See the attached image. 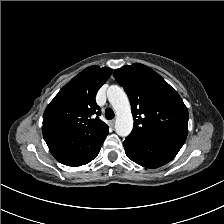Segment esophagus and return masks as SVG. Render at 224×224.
Listing matches in <instances>:
<instances>
[{"mask_svg": "<svg viewBox=\"0 0 224 224\" xmlns=\"http://www.w3.org/2000/svg\"><path fill=\"white\" fill-rule=\"evenodd\" d=\"M109 125H110L111 127H114V125H115V120H110V121H109Z\"/></svg>", "mask_w": 224, "mask_h": 224, "instance_id": "34e87169", "label": "esophagus"}]
</instances>
